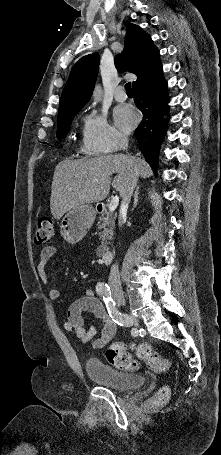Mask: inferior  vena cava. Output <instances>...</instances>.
Instances as JSON below:
<instances>
[{
	"label": "inferior vena cava",
	"instance_id": "obj_1",
	"mask_svg": "<svg viewBox=\"0 0 221 455\" xmlns=\"http://www.w3.org/2000/svg\"><path fill=\"white\" fill-rule=\"evenodd\" d=\"M118 142H119V146L121 149H123V150L127 149L128 138L126 136H122V135L119 136ZM137 181H138V171L135 168L129 174L127 184L125 186V190L122 193V202H121V208H120V212H119V226L120 227L122 226L123 220L126 217L128 206H129V203L131 200V196L137 185ZM108 283L111 287H118V288L121 287L120 273H119V268H118L117 263L113 264L111 267Z\"/></svg>",
	"mask_w": 221,
	"mask_h": 455
}]
</instances>
